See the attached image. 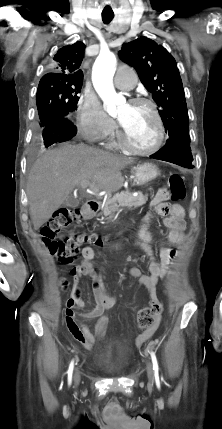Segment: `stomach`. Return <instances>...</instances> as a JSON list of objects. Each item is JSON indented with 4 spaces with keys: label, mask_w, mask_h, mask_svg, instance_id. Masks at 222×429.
<instances>
[{
    "label": "stomach",
    "mask_w": 222,
    "mask_h": 429,
    "mask_svg": "<svg viewBox=\"0 0 222 429\" xmlns=\"http://www.w3.org/2000/svg\"><path fill=\"white\" fill-rule=\"evenodd\" d=\"M159 174L157 166L152 163L137 165L133 169V184L136 186L144 185L154 180Z\"/></svg>",
    "instance_id": "0dacf381"
}]
</instances>
